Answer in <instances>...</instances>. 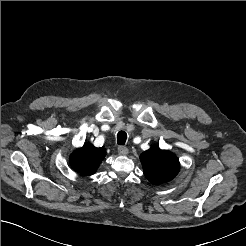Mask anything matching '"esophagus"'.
Instances as JSON below:
<instances>
[{"label": "esophagus", "mask_w": 246, "mask_h": 246, "mask_svg": "<svg viewBox=\"0 0 246 246\" xmlns=\"http://www.w3.org/2000/svg\"><path fill=\"white\" fill-rule=\"evenodd\" d=\"M118 153L120 154V155H127L128 154V148L127 147H125V146H119L118 147Z\"/></svg>", "instance_id": "esophagus-1"}]
</instances>
